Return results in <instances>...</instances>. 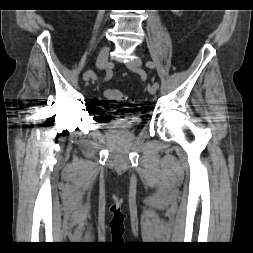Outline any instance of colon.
I'll list each match as a JSON object with an SVG mask.
<instances>
[{
	"mask_svg": "<svg viewBox=\"0 0 253 253\" xmlns=\"http://www.w3.org/2000/svg\"><path fill=\"white\" fill-rule=\"evenodd\" d=\"M105 96L113 101H117V102H126L128 100L127 96L118 90H112V89H108L105 91Z\"/></svg>",
	"mask_w": 253,
	"mask_h": 253,
	"instance_id": "obj_1",
	"label": "colon"
}]
</instances>
